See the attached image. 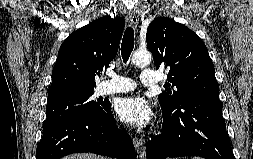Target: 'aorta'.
<instances>
[{
	"label": "aorta",
	"instance_id": "1",
	"mask_svg": "<svg viewBox=\"0 0 253 159\" xmlns=\"http://www.w3.org/2000/svg\"><path fill=\"white\" fill-rule=\"evenodd\" d=\"M152 59L151 53L146 50H137L132 56V63L137 66H146Z\"/></svg>",
	"mask_w": 253,
	"mask_h": 159
}]
</instances>
